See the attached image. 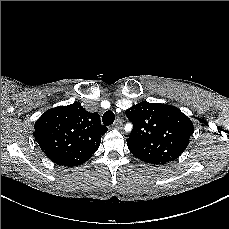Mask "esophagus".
I'll list each match as a JSON object with an SVG mask.
<instances>
[{
    "mask_svg": "<svg viewBox=\"0 0 229 229\" xmlns=\"http://www.w3.org/2000/svg\"><path fill=\"white\" fill-rule=\"evenodd\" d=\"M114 128L115 129H122L123 128V122L121 119H116L114 122Z\"/></svg>",
    "mask_w": 229,
    "mask_h": 229,
    "instance_id": "esophagus-1",
    "label": "esophagus"
}]
</instances>
